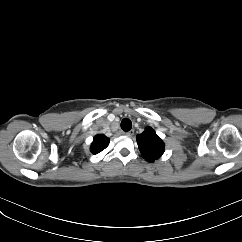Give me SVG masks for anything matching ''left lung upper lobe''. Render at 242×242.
<instances>
[{"label": "left lung upper lobe", "mask_w": 242, "mask_h": 242, "mask_svg": "<svg viewBox=\"0 0 242 242\" xmlns=\"http://www.w3.org/2000/svg\"><path fill=\"white\" fill-rule=\"evenodd\" d=\"M136 139L146 161L154 162L164 153V143L151 127H147Z\"/></svg>", "instance_id": "obj_1"}]
</instances>
